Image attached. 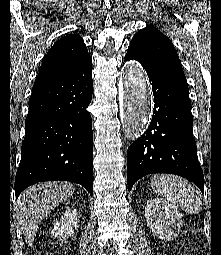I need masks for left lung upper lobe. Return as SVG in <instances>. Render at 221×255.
<instances>
[{
    "instance_id": "1",
    "label": "left lung upper lobe",
    "mask_w": 221,
    "mask_h": 255,
    "mask_svg": "<svg viewBox=\"0 0 221 255\" xmlns=\"http://www.w3.org/2000/svg\"><path fill=\"white\" fill-rule=\"evenodd\" d=\"M127 52H132L147 65L187 86L172 42L154 26L147 25L139 30L132 38Z\"/></svg>"
}]
</instances>
